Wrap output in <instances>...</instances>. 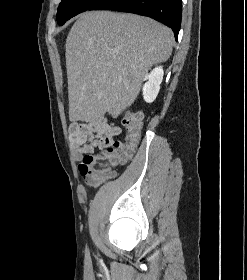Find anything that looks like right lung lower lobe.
I'll return each instance as SVG.
<instances>
[{
	"label": "right lung lower lobe",
	"mask_w": 247,
	"mask_h": 280,
	"mask_svg": "<svg viewBox=\"0 0 247 280\" xmlns=\"http://www.w3.org/2000/svg\"><path fill=\"white\" fill-rule=\"evenodd\" d=\"M89 10H113L148 16L169 26L175 38H178L181 0H99Z\"/></svg>",
	"instance_id": "right-lung-lower-lobe-1"
}]
</instances>
